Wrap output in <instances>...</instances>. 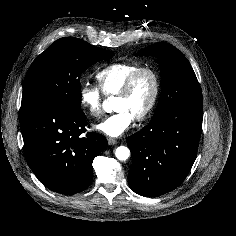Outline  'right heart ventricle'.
<instances>
[{
  "mask_svg": "<svg viewBox=\"0 0 236 236\" xmlns=\"http://www.w3.org/2000/svg\"><path fill=\"white\" fill-rule=\"evenodd\" d=\"M139 67L141 64L137 62H115L105 66L96 73L100 91L107 97L115 96L128 77Z\"/></svg>",
  "mask_w": 236,
  "mask_h": 236,
  "instance_id": "obj_1",
  "label": "right heart ventricle"
}]
</instances>
